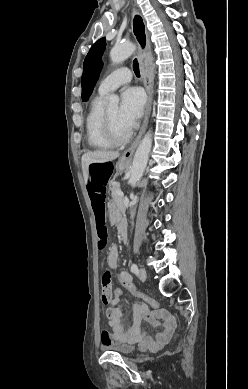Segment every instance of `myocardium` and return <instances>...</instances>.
I'll list each match as a JSON object with an SVG mask.
<instances>
[{"label":"myocardium","mask_w":248,"mask_h":389,"mask_svg":"<svg viewBox=\"0 0 248 389\" xmlns=\"http://www.w3.org/2000/svg\"><path fill=\"white\" fill-rule=\"evenodd\" d=\"M104 133L108 140L111 141L114 145L125 144L132 136L130 131L124 135H120L116 132L108 111L104 112Z\"/></svg>","instance_id":"1"}]
</instances>
